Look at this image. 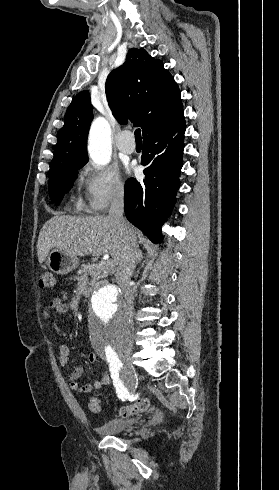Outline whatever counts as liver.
<instances>
[{
  "mask_svg": "<svg viewBox=\"0 0 279 490\" xmlns=\"http://www.w3.org/2000/svg\"><path fill=\"white\" fill-rule=\"evenodd\" d=\"M125 232L139 238L140 232L127 224ZM125 238L105 216H53L44 224L37 242L39 264L45 262L50 250L58 248L72 256L110 254L114 264L123 256Z\"/></svg>",
  "mask_w": 279,
  "mask_h": 490,
  "instance_id": "liver-1",
  "label": "liver"
}]
</instances>
